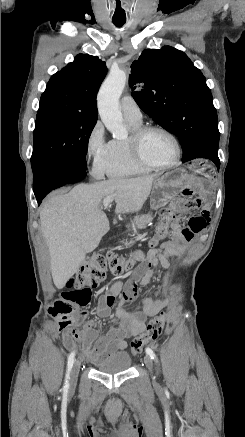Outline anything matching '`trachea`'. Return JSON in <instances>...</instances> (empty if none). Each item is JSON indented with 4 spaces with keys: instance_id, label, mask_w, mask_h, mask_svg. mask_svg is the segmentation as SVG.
I'll return each instance as SVG.
<instances>
[{
    "instance_id": "obj_1",
    "label": "trachea",
    "mask_w": 245,
    "mask_h": 437,
    "mask_svg": "<svg viewBox=\"0 0 245 437\" xmlns=\"http://www.w3.org/2000/svg\"><path fill=\"white\" fill-rule=\"evenodd\" d=\"M113 23L117 27H122L125 24V21H113Z\"/></svg>"
}]
</instances>
